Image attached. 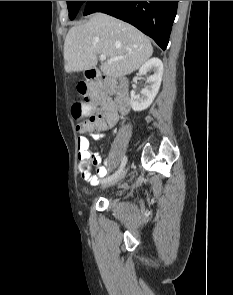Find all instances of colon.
Listing matches in <instances>:
<instances>
[{
  "label": "colon",
  "instance_id": "obj_1",
  "mask_svg": "<svg viewBox=\"0 0 233 295\" xmlns=\"http://www.w3.org/2000/svg\"><path fill=\"white\" fill-rule=\"evenodd\" d=\"M119 88L120 84L113 78L89 77L85 81L80 82L77 86V90L83 100L77 101L73 104L72 113L77 120H80L87 115H90V119L83 125L78 126V128L92 125L97 122L99 117H97L95 112V101H97L103 94L113 92Z\"/></svg>",
  "mask_w": 233,
  "mask_h": 295
}]
</instances>
